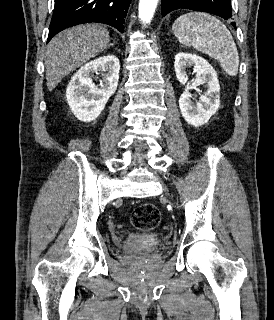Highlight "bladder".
Listing matches in <instances>:
<instances>
[{
  "instance_id": "31cf9c89",
  "label": "bladder",
  "mask_w": 274,
  "mask_h": 320,
  "mask_svg": "<svg viewBox=\"0 0 274 320\" xmlns=\"http://www.w3.org/2000/svg\"><path fill=\"white\" fill-rule=\"evenodd\" d=\"M156 241L155 234L131 233L125 238L122 246L128 252H141L152 248Z\"/></svg>"
}]
</instances>
